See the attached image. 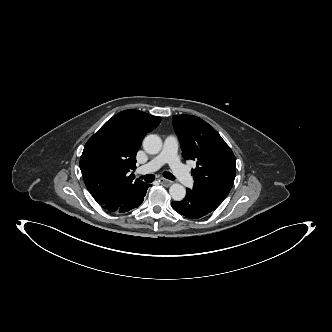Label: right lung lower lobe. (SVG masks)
<instances>
[{
	"label": "right lung lower lobe",
	"mask_w": 332,
	"mask_h": 332,
	"mask_svg": "<svg viewBox=\"0 0 332 332\" xmlns=\"http://www.w3.org/2000/svg\"><path fill=\"white\" fill-rule=\"evenodd\" d=\"M149 186V184L144 183L141 186L137 187L134 191H132L122 200L109 202L102 206L111 212H128L141 205Z\"/></svg>",
	"instance_id": "obj_1"
}]
</instances>
